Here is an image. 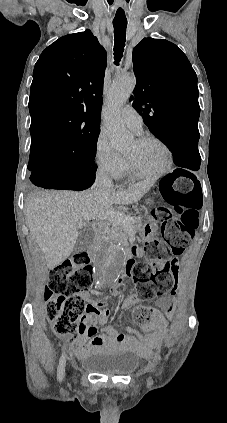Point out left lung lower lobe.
<instances>
[{
  "label": "left lung lower lobe",
  "mask_w": 227,
  "mask_h": 423,
  "mask_svg": "<svg viewBox=\"0 0 227 423\" xmlns=\"http://www.w3.org/2000/svg\"><path fill=\"white\" fill-rule=\"evenodd\" d=\"M198 139L199 132H189L181 136L166 138L163 142L171 150L174 163L177 166L197 171L201 163L198 151ZM174 175H183L193 180L195 179L192 173L183 169H176Z\"/></svg>",
  "instance_id": "1"
}]
</instances>
